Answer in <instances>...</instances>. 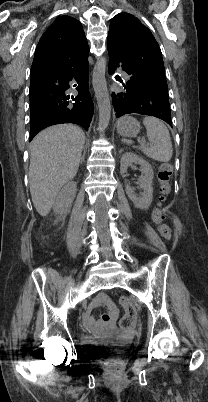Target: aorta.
Returning <instances> with one entry per match:
<instances>
[{
  "label": "aorta",
  "mask_w": 208,
  "mask_h": 402,
  "mask_svg": "<svg viewBox=\"0 0 208 402\" xmlns=\"http://www.w3.org/2000/svg\"><path fill=\"white\" fill-rule=\"evenodd\" d=\"M105 72L106 58H99L93 68L92 84L99 108V128L101 132L107 128L111 116V102L107 90Z\"/></svg>",
  "instance_id": "aorta-1"
}]
</instances>
